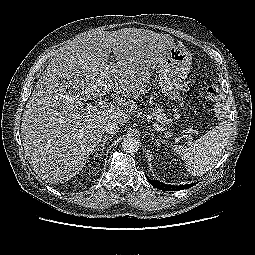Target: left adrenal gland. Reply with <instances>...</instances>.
<instances>
[{"mask_svg": "<svg viewBox=\"0 0 255 255\" xmlns=\"http://www.w3.org/2000/svg\"><path fill=\"white\" fill-rule=\"evenodd\" d=\"M151 136H152V139L159 145V141H161L162 139H159V138H155L154 134L151 133Z\"/></svg>", "mask_w": 255, "mask_h": 255, "instance_id": "1", "label": "left adrenal gland"}]
</instances>
